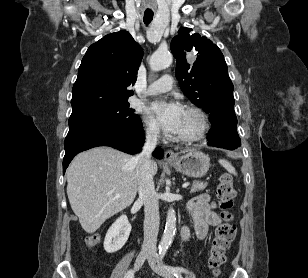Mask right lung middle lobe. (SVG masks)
<instances>
[{
    "label": "right lung middle lobe",
    "instance_id": "right-lung-middle-lobe-1",
    "mask_svg": "<svg viewBox=\"0 0 308 278\" xmlns=\"http://www.w3.org/2000/svg\"><path fill=\"white\" fill-rule=\"evenodd\" d=\"M83 126L141 128L142 123L134 110L129 108V103L124 102L70 116L69 129Z\"/></svg>",
    "mask_w": 308,
    "mask_h": 278
}]
</instances>
